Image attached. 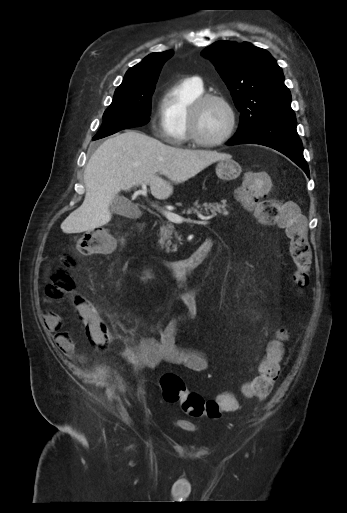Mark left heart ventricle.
Segmentation results:
<instances>
[{"label": "left heart ventricle", "mask_w": 347, "mask_h": 513, "mask_svg": "<svg viewBox=\"0 0 347 513\" xmlns=\"http://www.w3.org/2000/svg\"><path fill=\"white\" fill-rule=\"evenodd\" d=\"M229 115L226 108L218 102L207 103L198 118L199 135L206 140H216L227 130Z\"/></svg>", "instance_id": "left-heart-ventricle-1"}]
</instances>
